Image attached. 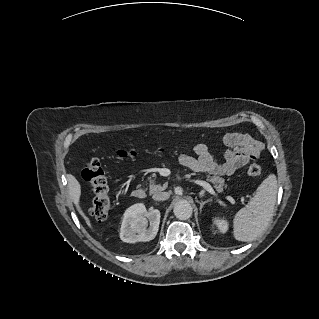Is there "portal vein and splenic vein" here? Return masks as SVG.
I'll list each match as a JSON object with an SVG mask.
<instances>
[{
    "label": "portal vein and splenic vein",
    "mask_w": 319,
    "mask_h": 319,
    "mask_svg": "<svg viewBox=\"0 0 319 319\" xmlns=\"http://www.w3.org/2000/svg\"><path fill=\"white\" fill-rule=\"evenodd\" d=\"M194 183L202 186L206 191H208L210 194H212L213 196H217L216 192L214 191V189L212 188V186L207 183L206 181H203V180H199V179H196V180H192ZM219 204L220 205H224L223 202L221 200H218Z\"/></svg>",
    "instance_id": "portal-vein-and-splenic-vein-1"
}]
</instances>
